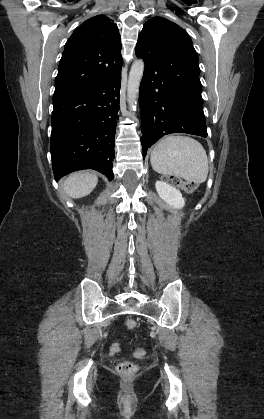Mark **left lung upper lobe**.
Returning a JSON list of instances; mask_svg holds the SVG:
<instances>
[{
	"label": "left lung upper lobe",
	"instance_id": "obj_1",
	"mask_svg": "<svg viewBox=\"0 0 264 419\" xmlns=\"http://www.w3.org/2000/svg\"><path fill=\"white\" fill-rule=\"evenodd\" d=\"M152 47L159 51L163 75L185 81L199 80L198 56L184 29L165 18H151L139 34L135 52Z\"/></svg>",
	"mask_w": 264,
	"mask_h": 419
}]
</instances>
